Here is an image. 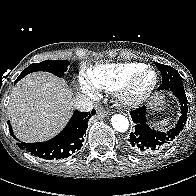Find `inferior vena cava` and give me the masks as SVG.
Segmentation results:
<instances>
[{
  "label": "inferior vena cava",
  "instance_id": "1",
  "mask_svg": "<svg viewBox=\"0 0 196 196\" xmlns=\"http://www.w3.org/2000/svg\"><path fill=\"white\" fill-rule=\"evenodd\" d=\"M71 104L73 108L81 112H88L93 109L92 101L88 97L82 94L76 95L72 99Z\"/></svg>",
  "mask_w": 196,
  "mask_h": 196
}]
</instances>
